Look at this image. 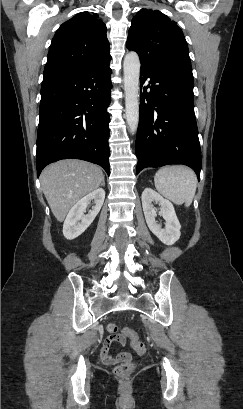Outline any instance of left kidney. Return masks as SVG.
I'll return each mask as SVG.
<instances>
[{
  "mask_svg": "<svg viewBox=\"0 0 243 409\" xmlns=\"http://www.w3.org/2000/svg\"><path fill=\"white\" fill-rule=\"evenodd\" d=\"M142 207L149 229L155 234L161 242L166 245H173L180 238L181 225L176 216L172 203L151 188H146L142 192ZM156 202L160 205V214L166 221L165 228L156 222V209L153 205Z\"/></svg>",
  "mask_w": 243,
  "mask_h": 409,
  "instance_id": "5707ae66",
  "label": "left kidney"
}]
</instances>
